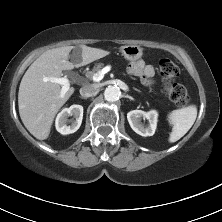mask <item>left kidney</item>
<instances>
[{
  "mask_svg": "<svg viewBox=\"0 0 222 222\" xmlns=\"http://www.w3.org/2000/svg\"><path fill=\"white\" fill-rule=\"evenodd\" d=\"M147 119L149 124L144 126L141 120ZM158 113L156 110L144 112L142 110H133L127 114L128 122L131 128L141 136H152L157 126Z\"/></svg>",
  "mask_w": 222,
  "mask_h": 222,
  "instance_id": "obj_1",
  "label": "left kidney"
}]
</instances>
